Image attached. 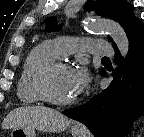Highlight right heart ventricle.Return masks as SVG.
Returning <instances> with one entry per match:
<instances>
[{
    "label": "right heart ventricle",
    "instance_id": "obj_1",
    "mask_svg": "<svg viewBox=\"0 0 144 137\" xmlns=\"http://www.w3.org/2000/svg\"><path fill=\"white\" fill-rule=\"evenodd\" d=\"M56 58L57 55L50 42H43L29 52L17 84V96L22 103L32 105L42 101L34 89V76L40 67Z\"/></svg>",
    "mask_w": 144,
    "mask_h": 137
}]
</instances>
